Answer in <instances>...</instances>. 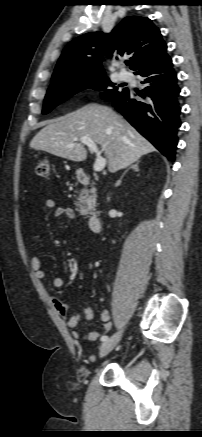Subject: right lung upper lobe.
<instances>
[{"mask_svg":"<svg viewBox=\"0 0 202 437\" xmlns=\"http://www.w3.org/2000/svg\"><path fill=\"white\" fill-rule=\"evenodd\" d=\"M167 45L160 30L149 18H124L111 33L101 31L81 35L63 50L55 67L51 82L66 81L82 76L105 74L103 56L132 54L131 69L137 71L162 60Z\"/></svg>","mask_w":202,"mask_h":437,"instance_id":"1","label":"right lung upper lobe"}]
</instances>
